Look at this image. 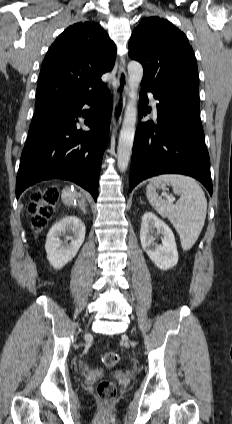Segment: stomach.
I'll return each instance as SVG.
<instances>
[{
	"label": "stomach",
	"instance_id": "stomach-1",
	"mask_svg": "<svg viewBox=\"0 0 232 424\" xmlns=\"http://www.w3.org/2000/svg\"><path fill=\"white\" fill-rule=\"evenodd\" d=\"M164 186H165V183L163 181H161V182L155 181L154 182V188L155 189L156 188H164Z\"/></svg>",
	"mask_w": 232,
	"mask_h": 424
}]
</instances>
